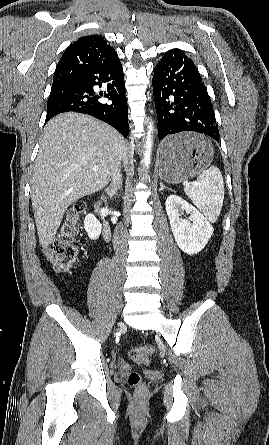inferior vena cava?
I'll use <instances>...</instances> for the list:
<instances>
[{
    "instance_id": "obj_1",
    "label": "inferior vena cava",
    "mask_w": 269,
    "mask_h": 445,
    "mask_svg": "<svg viewBox=\"0 0 269 445\" xmlns=\"http://www.w3.org/2000/svg\"><path fill=\"white\" fill-rule=\"evenodd\" d=\"M119 165H120V161H118L117 166L115 168V172L113 174V178H112V185L113 186H117L118 183H119V180H120V177H119L120 173H119V168H118Z\"/></svg>"
}]
</instances>
